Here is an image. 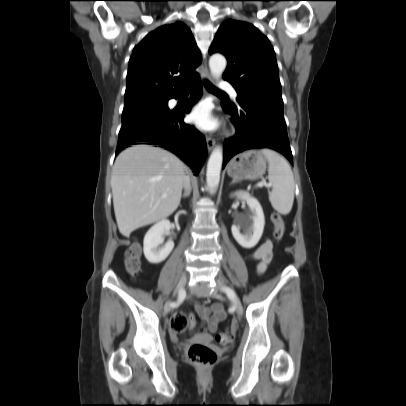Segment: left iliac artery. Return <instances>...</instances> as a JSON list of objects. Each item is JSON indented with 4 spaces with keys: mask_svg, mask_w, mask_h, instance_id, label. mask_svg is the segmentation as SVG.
Wrapping results in <instances>:
<instances>
[{
    "mask_svg": "<svg viewBox=\"0 0 406 406\" xmlns=\"http://www.w3.org/2000/svg\"><path fill=\"white\" fill-rule=\"evenodd\" d=\"M222 291H224V292H226V294L228 295V297L229 296H231L232 294H233V290L232 289H230V288H224V289H222Z\"/></svg>",
    "mask_w": 406,
    "mask_h": 406,
    "instance_id": "1",
    "label": "left iliac artery"
}]
</instances>
